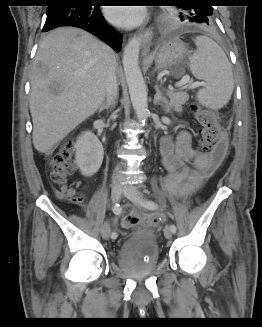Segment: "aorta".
Instances as JSON below:
<instances>
[{
	"instance_id": "1",
	"label": "aorta",
	"mask_w": 262,
	"mask_h": 327,
	"mask_svg": "<svg viewBox=\"0 0 262 327\" xmlns=\"http://www.w3.org/2000/svg\"><path fill=\"white\" fill-rule=\"evenodd\" d=\"M140 45L141 40L132 37L124 48L122 63L133 108L139 121H145L149 110L146 85L139 67Z\"/></svg>"
}]
</instances>
